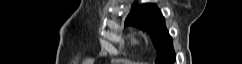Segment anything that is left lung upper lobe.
<instances>
[{
    "instance_id": "obj_1",
    "label": "left lung upper lobe",
    "mask_w": 242,
    "mask_h": 64,
    "mask_svg": "<svg viewBox=\"0 0 242 64\" xmlns=\"http://www.w3.org/2000/svg\"><path fill=\"white\" fill-rule=\"evenodd\" d=\"M125 25L135 26L151 36L157 52L156 64H172L175 61L172 37L166 29L161 11L155 4H134Z\"/></svg>"
}]
</instances>
